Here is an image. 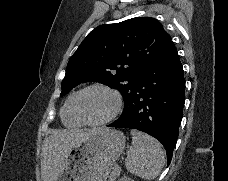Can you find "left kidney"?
<instances>
[{"label": "left kidney", "instance_id": "1", "mask_svg": "<svg viewBox=\"0 0 228 181\" xmlns=\"http://www.w3.org/2000/svg\"><path fill=\"white\" fill-rule=\"evenodd\" d=\"M120 181H132V179H127V177H123V179H120Z\"/></svg>", "mask_w": 228, "mask_h": 181}]
</instances>
